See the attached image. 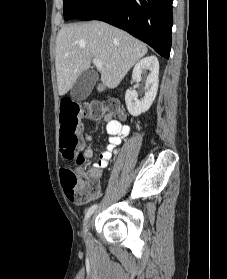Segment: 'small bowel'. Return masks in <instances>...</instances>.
I'll use <instances>...</instances> for the list:
<instances>
[{
    "label": "small bowel",
    "mask_w": 227,
    "mask_h": 279,
    "mask_svg": "<svg viewBox=\"0 0 227 279\" xmlns=\"http://www.w3.org/2000/svg\"><path fill=\"white\" fill-rule=\"evenodd\" d=\"M103 120L106 123V132L109 135L108 144L105 150L100 153L97 162L92 163L91 166L85 171V174L88 177L93 178L97 183V191L94 195L100 192L99 180L102 175V170L108 167L114 151L121 144L122 139L129 133V126L113 119L110 113H106L103 117ZM85 141H87L89 145L84 150L83 154L87 159H91L94 153L91 146L92 136L87 135L85 137Z\"/></svg>",
    "instance_id": "1"
}]
</instances>
